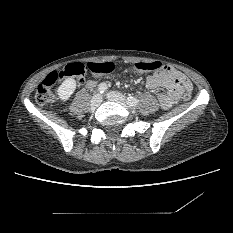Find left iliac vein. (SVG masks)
<instances>
[{"mask_svg":"<svg viewBox=\"0 0 233 233\" xmlns=\"http://www.w3.org/2000/svg\"><path fill=\"white\" fill-rule=\"evenodd\" d=\"M107 98L111 101H114V102H117V103H120L122 105H124L126 108H130V106L128 105L127 103V100L125 98L124 95H122L121 93H118V92H108L107 93Z\"/></svg>","mask_w":233,"mask_h":233,"instance_id":"left-iliac-vein-1","label":"left iliac vein"}]
</instances>
